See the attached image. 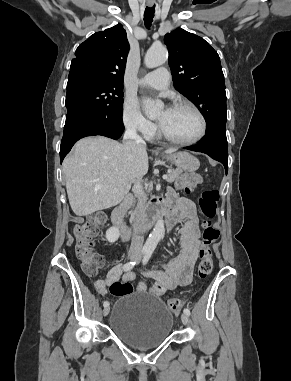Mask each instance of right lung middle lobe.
Masks as SVG:
<instances>
[{
	"mask_svg": "<svg viewBox=\"0 0 291 381\" xmlns=\"http://www.w3.org/2000/svg\"><path fill=\"white\" fill-rule=\"evenodd\" d=\"M123 86L78 79L68 81L65 105L67 114L78 112L91 122L122 118Z\"/></svg>",
	"mask_w": 291,
	"mask_h": 381,
	"instance_id": "1",
	"label": "right lung middle lobe"
}]
</instances>
